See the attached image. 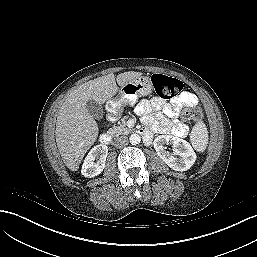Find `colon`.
Wrapping results in <instances>:
<instances>
[{"mask_svg": "<svg viewBox=\"0 0 257 257\" xmlns=\"http://www.w3.org/2000/svg\"><path fill=\"white\" fill-rule=\"evenodd\" d=\"M152 83L156 94L162 99L174 97L183 89V85L180 80L163 74H154L152 76ZM201 117L202 112L197 107L185 108L182 111V119L186 122H195L200 120Z\"/></svg>", "mask_w": 257, "mask_h": 257, "instance_id": "5ec220e1", "label": "colon"}]
</instances>
